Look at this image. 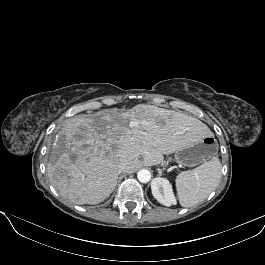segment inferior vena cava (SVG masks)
<instances>
[{
  "mask_svg": "<svg viewBox=\"0 0 265 265\" xmlns=\"http://www.w3.org/2000/svg\"><path fill=\"white\" fill-rule=\"evenodd\" d=\"M127 168H128V165H127L126 162L120 163L119 169H118L119 174L122 173V172L127 171Z\"/></svg>",
  "mask_w": 265,
  "mask_h": 265,
  "instance_id": "1",
  "label": "inferior vena cava"
}]
</instances>
